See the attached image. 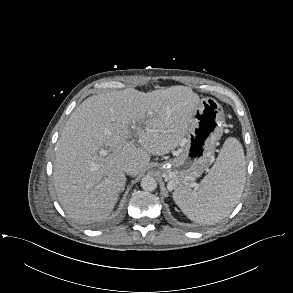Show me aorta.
<instances>
[{
  "instance_id": "762f6f07",
  "label": "aorta",
  "mask_w": 293,
  "mask_h": 293,
  "mask_svg": "<svg viewBox=\"0 0 293 293\" xmlns=\"http://www.w3.org/2000/svg\"><path fill=\"white\" fill-rule=\"evenodd\" d=\"M141 188L144 191H154L157 188V182L154 177L146 175L141 179Z\"/></svg>"
}]
</instances>
